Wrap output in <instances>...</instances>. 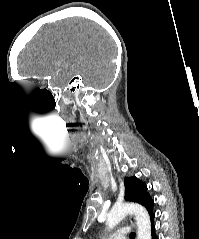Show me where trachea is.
<instances>
[{"mask_svg": "<svg viewBox=\"0 0 199 239\" xmlns=\"http://www.w3.org/2000/svg\"><path fill=\"white\" fill-rule=\"evenodd\" d=\"M130 239H135V233L134 232L130 233Z\"/></svg>", "mask_w": 199, "mask_h": 239, "instance_id": "1", "label": "trachea"}]
</instances>
